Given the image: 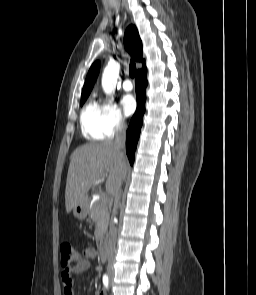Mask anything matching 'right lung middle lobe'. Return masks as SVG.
<instances>
[{
    "mask_svg": "<svg viewBox=\"0 0 256 295\" xmlns=\"http://www.w3.org/2000/svg\"><path fill=\"white\" fill-rule=\"evenodd\" d=\"M88 95L86 96H81V106L84 104V102L86 101Z\"/></svg>",
    "mask_w": 256,
    "mask_h": 295,
    "instance_id": "dd1d6c3e",
    "label": "right lung middle lobe"
}]
</instances>
